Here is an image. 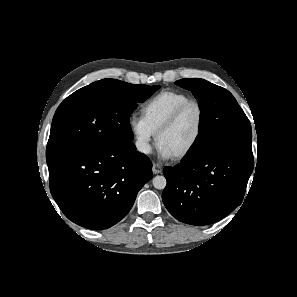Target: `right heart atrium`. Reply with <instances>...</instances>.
Segmentation results:
<instances>
[{
  "mask_svg": "<svg viewBox=\"0 0 297 297\" xmlns=\"http://www.w3.org/2000/svg\"><path fill=\"white\" fill-rule=\"evenodd\" d=\"M128 125L137 151L141 154H149L152 151L155 133L142 117L132 115L128 120Z\"/></svg>",
  "mask_w": 297,
  "mask_h": 297,
  "instance_id": "obj_1",
  "label": "right heart atrium"
}]
</instances>
